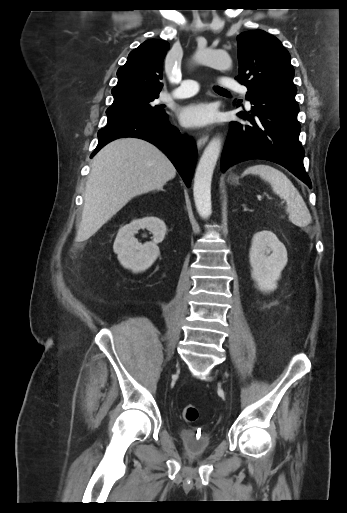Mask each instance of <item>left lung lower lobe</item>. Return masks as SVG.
<instances>
[{
    "instance_id": "obj_1",
    "label": "left lung lower lobe",
    "mask_w": 347,
    "mask_h": 513,
    "mask_svg": "<svg viewBox=\"0 0 347 513\" xmlns=\"http://www.w3.org/2000/svg\"><path fill=\"white\" fill-rule=\"evenodd\" d=\"M246 98L253 104L251 113L239 112L237 115L245 122L230 123L221 159L222 172L241 161L265 159L284 166L312 188L303 165L295 94L248 91Z\"/></svg>"
}]
</instances>
